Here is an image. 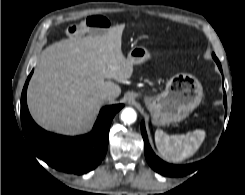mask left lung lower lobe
Returning <instances> with one entry per match:
<instances>
[{
  "mask_svg": "<svg viewBox=\"0 0 245 195\" xmlns=\"http://www.w3.org/2000/svg\"><path fill=\"white\" fill-rule=\"evenodd\" d=\"M217 65L220 71H222L220 62H218ZM224 105L226 107V94H224ZM141 133L144 139V152L146 160L151 168L156 172L160 173L163 176L179 177L192 173L197 169L199 162L188 165H173L164 162L152 151L148 142L144 122L141 123Z\"/></svg>",
  "mask_w": 245,
  "mask_h": 195,
  "instance_id": "0a47b994",
  "label": "left lung lower lobe"
}]
</instances>
